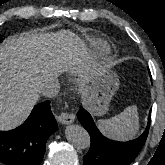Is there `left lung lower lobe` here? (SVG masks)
I'll return each mask as SVG.
<instances>
[{"label": "left lung lower lobe", "mask_w": 165, "mask_h": 165, "mask_svg": "<svg viewBox=\"0 0 165 165\" xmlns=\"http://www.w3.org/2000/svg\"><path fill=\"white\" fill-rule=\"evenodd\" d=\"M77 117L91 138L89 151L83 157V165H129L146 141L151 112L143 134L128 142L113 141L104 137L95 126L91 115L83 107L80 108Z\"/></svg>", "instance_id": "left-lung-lower-lobe-1"}]
</instances>
